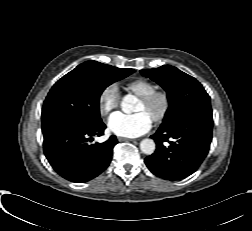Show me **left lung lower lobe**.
<instances>
[{
  "label": "left lung lower lobe",
  "mask_w": 252,
  "mask_h": 231,
  "mask_svg": "<svg viewBox=\"0 0 252 231\" xmlns=\"http://www.w3.org/2000/svg\"><path fill=\"white\" fill-rule=\"evenodd\" d=\"M212 128V111H192L177 117L151 136L156 151L145 158L147 167L166 180L191 175L209 151Z\"/></svg>",
  "instance_id": "0a47b994"
}]
</instances>
